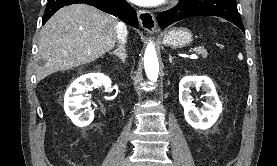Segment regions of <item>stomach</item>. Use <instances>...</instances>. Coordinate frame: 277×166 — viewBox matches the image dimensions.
<instances>
[{
	"label": "stomach",
	"instance_id": "stomach-1",
	"mask_svg": "<svg viewBox=\"0 0 277 166\" xmlns=\"http://www.w3.org/2000/svg\"><path fill=\"white\" fill-rule=\"evenodd\" d=\"M192 40L193 35L190 30L187 28H174L164 35L162 43L166 46L182 48L189 45Z\"/></svg>",
	"mask_w": 277,
	"mask_h": 166
}]
</instances>
